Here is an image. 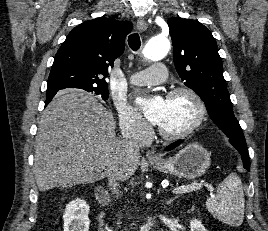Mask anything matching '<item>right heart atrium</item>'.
<instances>
[{"mask_svg":"<svg viewBox=\"0 0 268 231\" xmlns=\"http://www.w3.org/2000/svg\"><path fill=\"white\" fill-rule=\"evenodd\" d=\"M121 131L130 138H141L149 127L142 117L127 103L117 104Z\"/></svg>","mask_w":268,"mask_h":231,"instance_id":"d8ad5b80","label":"right heart atrium"}]
</instances>
